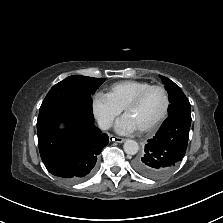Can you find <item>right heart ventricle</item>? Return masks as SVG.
<instances>
[{"mask_svg":"<svg viewBox=\"0 0 223 223\" xmlns=\"http://www.w3.org/2000/svg\"><path fill=\"white\" fill-rule=\"evenodd\" d=\"M151 84L140 80H125L114 83L108 88V97L120 108L125 106L143 89Z\"/></svg>","mask_w":223,"mask_h":223,"instance_id":"1","label":"right heart ventricle"}]
</instances>
